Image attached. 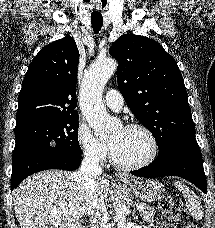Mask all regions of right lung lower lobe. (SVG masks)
I'll return each instance as SVG.
<instances>
[{"label":"right lung lower lobe","mask_w":215,"mask_h":228,"mask_svg":"<svg viewBox=\"0 0 215 228\" xmlns=\"http://www.w3.org/2000/svg\"><path fill=\"white\" fill-rule=\"evenodd\" d=\"M81 162L80 154L57 150H41L13 160L11 191L26 177L47 169L75 170Z\"/></svg>","instance_id":"obj_1"}]
</instances>
